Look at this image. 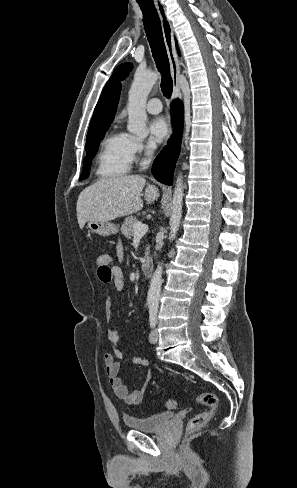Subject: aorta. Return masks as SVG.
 <instances>
[{
    "label": "aorta",
    "instance_id": "762f6f07",
    "mask_svg": "<svg viewBox=\"0 0 297 488\" xmlns=\"http://www.w3.org/2000/svg\"><path fill=\"white\" fill-rule=\"evenodd\" d=\"M158 77V72L137 71L135 73L134 81L129 91V99L127 105L129 115L127 130L136 136L143 137L147 134L146 101L148 94L150 93ZM183 196V185L181 175H179L176 180V185L173 193L172 213L169 222V241L174 240L176 233L179 230L182 217ZM162 271L163 263L157 266L150 281L147 296V305L149 307L158 306L162 286Z\"/></svg>",
    "mask_w": 297,
    "mask_h": 488
}]
</instances>
